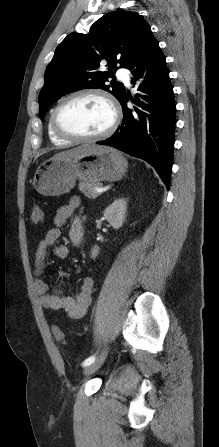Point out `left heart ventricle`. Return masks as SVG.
Instances as JSON below:
<instances>
[{"mask_svg":"<svg viewBox=\"0 0 219 447\" xmlns=\"http://www.w3.org/2000/svg\"><path fill=\"white\" fill-rule=\"evenodd\" d=\"M109 105L97 96H81L65 104L59 113V124L67 132L95 135L111 122Z\"/></svg>","mask_w":219,"mask_h":447,"instance_id":"b2bd125f","label":"left heart ventricle"}]
</instances>
